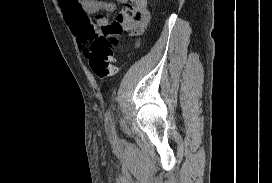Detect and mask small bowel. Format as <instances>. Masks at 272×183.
Segmentation results:
<instances>
[{
    "instance_id": "c3829d8e",
    "label": "small bowel",
    "mask_w": 272,
    "mask_h": 183,
    "mask_svg": "<svg viewBox=\"0 0 272 183\" xmlns=\"http://www.w3.org/2000/svg\"><path fill=\"white\" fill-rule=\"evenodd\" d=\"M123 4V9L117 14L112 23L119 25H110L109 19L100 15L102 11L111 12L115 5L109 2L99 0H59L60 7L63 10L65 21L71 32L76 36L79 45H86L99 34H108V36H140L149 21V12L147 9V0H117ZM91 15H96L91 19Z\"/></svg>"
}]
</instances>
